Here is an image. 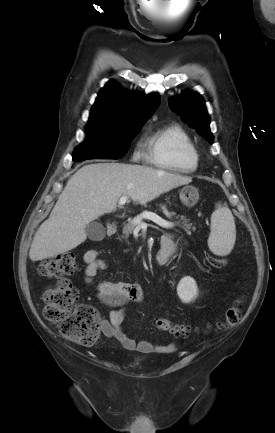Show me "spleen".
<instances>
[{
    "label": "spleen",
    "mask_w": 275,
    "mask_h": 433,
    "mask_svg": "<svg viewBox=\"0 0 275 433\" xmlns=\"http://www.w3.org/2000/svg\"><path fill=\"white\" fill-rule=\"evenodd\" d=\"M236 228L234 217L227 206L217 204L211 215V232L208 247L218 256L228 255L234 247Z\"/></svg>",
    "instance_id": "obj_1"
}]
</instances>
